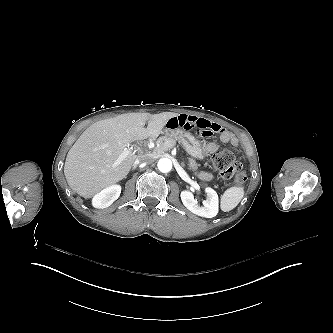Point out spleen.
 <instances>
[{
    "label": "spleen",
    "mask_w": 333,
    "mask_h": 333,
    "mask_svg": "<svg viewBox=\"0 0 333 333\" xmlns=\"http://www.w3.org/2000/svg\"><path fill=\"white\" fill-rule=\"evenodd\" d=\"M244 196V188L242 186H233L228 188L220 200V208L223 212H229L233 210L242 200Z\"/></svg>",
    "instance_id": "1"
}]
</instances>
